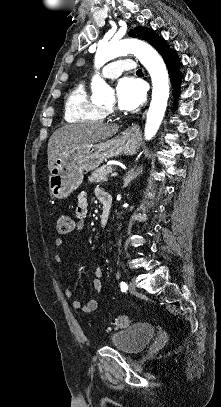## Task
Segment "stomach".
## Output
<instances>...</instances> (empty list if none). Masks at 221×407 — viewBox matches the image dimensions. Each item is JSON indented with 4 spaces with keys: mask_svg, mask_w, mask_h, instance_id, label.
<instances>
[{
    "mask_svg": "<svg viewBox=\"0 0 221 407\" xmlns=\"http://www.w3.org/2000/svg\"><path fill=\"white\" fill-rule=\"evenodd\" d=\"M138 142V132L127 129L110 140L63 151L50 170V194L57 199L67 198L81 185L85 172L94 170L108 158L135 154Z\"/></svg>",
    "mask_w": 221,
    "mask_h": 407,
    "instance_id": "0dacf381",
    "label": "stomach"
}]
</instances>
